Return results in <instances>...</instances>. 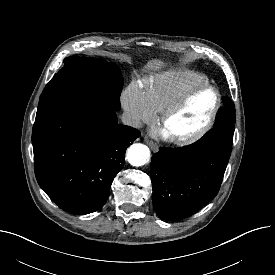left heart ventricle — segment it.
<instances>
[{
	"label": "left heart ventricle",
	"mask_w": 275,
	"mask_h": 275,
	"mask_svg": "<svg viewBox=\"0 0 275 275\" xmlns=\"http://www.w3.org/2000/svg\"><path fill=\"white\" fill-rule=\"evenodd\" d=\"M216 102L212 90L202 91L166 123L164 130L168 136H184L198 130L208 119Z\"/></svg>",
	"instance_id": "left-heart-ventricle-1"
}]
</instances>
